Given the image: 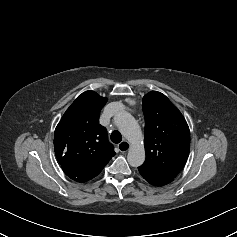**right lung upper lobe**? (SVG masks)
Masks as SVG:
<instances>
[{
  "label": "right lung upper lobe",
  "instance_id": "1",
  "mask_svg": "<svg viewBox=\"0 0 237 237\" xmlns=\"http://www.w3.org/2000/svg\"><path fill=\"white\" fill-rule=\"evenodd\" d=\"M94 91L82 93L66 110L54 134L56 157L67 176L86 182L97 176L115 155L107 130L99 124L106 104Z\"/></svg>",
  "mask_w": 237,
  "mask_h": 237
}]
</instances>
